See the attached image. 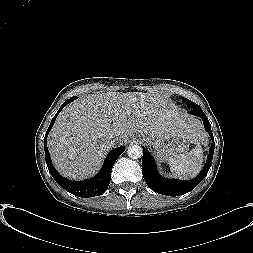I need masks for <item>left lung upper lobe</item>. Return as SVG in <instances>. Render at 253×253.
<instances>
[{"mask_svg":"<svg viewBox=\"0 0 253 253\" xmlns=\"http://www.w3.org/2000/svg\"><path fill=\"white\" fill-rule=\"evenodd\" d=\"M182 101L185 104H187L188 106L196 104V103H194V102H192V101H190L189 99H186V98H182Z\"/></svg>","mask_w":253,"mask_h":253,"instance_id":"1","label":"left lung upper lobe"}]
</instances>
